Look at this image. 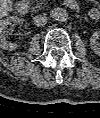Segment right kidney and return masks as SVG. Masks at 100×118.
<instances>
[{
    "instance_id": "obj_1",
    "label": "right kidney",
    "mask_w": 100,
    "mask_h": 118,
    "mask_svg": "<svg viewBox=\"0 0 100 118\" xmlns=\"http://www.w3.org/2000/svg\"><path fill=\"white\" fill-rule=\"evenodd\" d=\"M22 20L16 16L7 17L0 21V47L5 50H15L17 48L16 43L8 42L6 38L9 35L8 26L12 24H22Z\"/></svg>"
}]
</instances>
